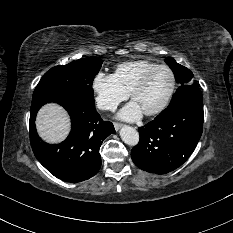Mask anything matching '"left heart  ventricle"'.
<instances>
[{
	"instance_id": "left-heart-ventricle-1",
	"label": "left heart ventricle",
	"mask_w": 233,
	"mask_h": 233,
	"mask_svg": "<svg viewBox=\"0 0 233 233\" xmlns=\"http://www.w3.org/2000/svg\"><path fill=\"white\" fill-rule=\"evenodd\" d=\"M172 79L167 70L156 71L148 80L146 86L138 92L132 101H134L143 113L156 109L167 96Z\"/></svg>"
}]
</instances>
